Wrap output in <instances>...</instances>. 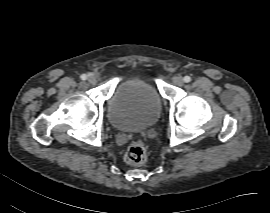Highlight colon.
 Instances as JSON below:
<instances>
[{
  "instance_id": "5ec220e1",
  "label": "colon",
  "mask_w": 270,
  "mask_h": 213,
  "mask_svg": "<svg viewBox=\"0 0 270 213\" xmlns=\"http://www.w3.org/2000/svg\"><path fill=\"white\" fill-rule=\"evenodd\" d=\"M147 157V147L144 141L136 139L131 141L125 150L124 159L128 164L140 165Z\"/></svg>"
}]
</instances>
